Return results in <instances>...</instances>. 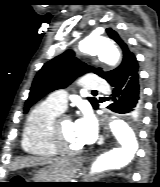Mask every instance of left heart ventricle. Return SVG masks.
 <instances>
[{
    "label": "left heart ventricle",
    "instance_id": "left-heart-ventricle-1",
    "mask_svg": "<svg viewBox=\"0 0 160 187\" xmlns=\"http://www.w3.org/2000/svg\"><path fill=\"white\" fill-rule=\"evenodd\" d=\"M60 128L64 137V143L69 149L77 150L83 147V145L78 140V137L74 130V124L70 119L63 118L60 122Z\"/></svg>",
    "mask_w": 160,
    "mask_h": 187
}]
</instances>
